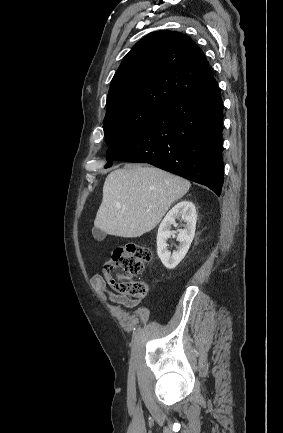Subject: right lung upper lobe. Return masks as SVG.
<instances>
[{"label":"right lung upper lobe","instance_id":"right-lung-upper-lobe-1","mask_svg":"<svg viewBox=\"0 0 283 433\" xmlns=\"http://www.w3.org/2000/svg\"><path fill=\"white\" fill-rule=\"evenodd\" d=\"M215 82L203 51L186 35L156 31L124 57L108 92L106 108L151 105L165 108Z\"/></svg>","mask_w":283,"mask_h":433}]
</instances>
